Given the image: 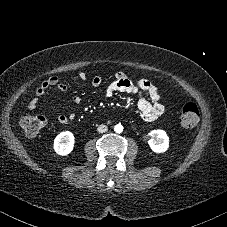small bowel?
<instances>
[{"instance_id":"1","label":"small bowel","mask_w":227,"mask_h":227,"mask_svg":"<svg viewBox=\"0 0 227 227\" xmlns=\"http://www.w3.org/2000/svg\"><path fill=\"white\" fill-rule=\"evenodd\" d=\"M77 79L80 81L85 80L86 74L83 72L79 73L77 75ZM101 84V77L94 76L92 78L91 86L93 88H98ZM52 88L62 92L67 91V85L59 82L58 77L52 76L43 81L36 89L34 97L28 103V108L30 110L37 109L42 98L48 95ZM119 92L130 93L138 97V109L145 122L155 121L164 112V106L160 102L157 87L146 79L132 81L124 73H117L114 80L105 87L104 94L106 97L111 98ZM73 102L76 105H79L81 103L80 96L75 95L73 97ZM75 117V112H71L69 114L61 113L58 115V121L62 125H69L75 120Z\"/></svg>"}]
</instances>
